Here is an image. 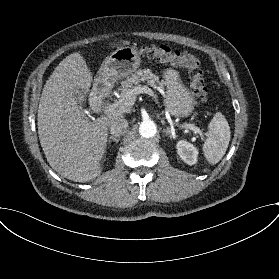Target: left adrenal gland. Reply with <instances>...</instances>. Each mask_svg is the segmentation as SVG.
Returning <instances> with one entry per match:
<instances>
[{
    "instance_id": "a2214340",
    "label": "left adrenal gland",
    "mask_w": 279,
    "mask_h": 279,
    "mask_svg": "<svg viewBox=\"0 0 279 279\" xmlns=\"http://www.w3.org/2000/svg\"><path fill=\"white\" fill-rule=\"evenodd\" d=\"M163 133H165L166 135H172L170 128H166L162 130Z\"/></svg>"
}]
</instances>
